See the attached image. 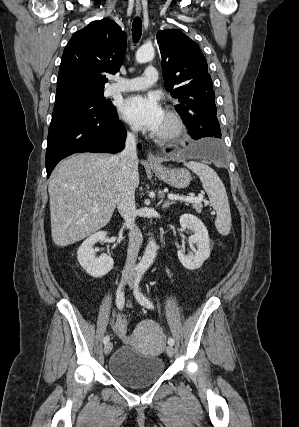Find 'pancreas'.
I'll use <instances>...</instances> for the list:
<instances>
[{
	"label": "pancreas",
	"instance_id": "1",
	"mask_svg": "<svg viewBox=\"0 0 299 427\" xmlns=\"http://www.w3.org/2000/svg\"><path fill=\"white\" fill-rule=\"evenodd\" d=\"M187 204H191L192 208L195 209L196 212L201 213L203 207L201 202H188Z\"/></svg>",
	"mask_w": 299,
	"mask_h": 427
}]
</instances>
